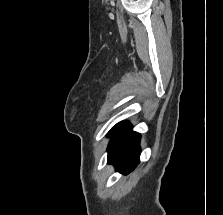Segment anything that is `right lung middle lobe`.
Masks as SVG:
<instances>
[{"instance_id":"obj_1","label":"right lung middle lobe","mask_w":223,"mask_h":215,"mask_svg":"<svg viewBox=\"0 0 223 215\" xmlns=\"http://www.w3.org/2000/svg\"><path fill=\"white\" fill-rule=\"evenodd\" d=\"M121 123L116 124L108 133V135H111L113 131L120 125Z\"/></svg>"}]
</instances>
